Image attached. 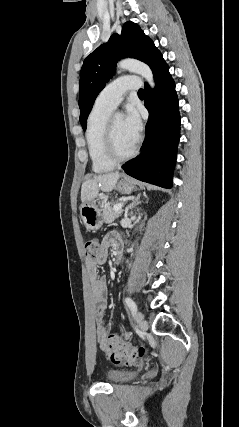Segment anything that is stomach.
<instances>
[{"mask_svg": "<svg viewBox=\"0 0 239 427\" xmlns=\"http://www.w3.org/2000/svg\"><path fill=\"white\" fill-rule=\"evenodd\" d=\"M116 189L122 194H130L137 189V186L134 180L124 178L117 184ZM80 215L88 230H98L104 222L101 210L94 201L83 203L80 208Z\"/></svg>", "mask_w": 239, "mask_h": 427, "instance_id": "obj_1", "label": "stomach"}]
</instances>
